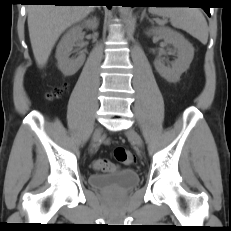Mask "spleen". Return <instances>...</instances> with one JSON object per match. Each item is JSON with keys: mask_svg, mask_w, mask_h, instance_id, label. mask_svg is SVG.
<instances>
[{"mask_svg": "<svg viewBox=\"0 0 231 231\" xmlns=\"http://www.w3.org/2000/svg\"><path fill=\"white\" fill-rule=\"evenodd\" d=\"M149 11L158 16L168 17L171 24L182 29L202 44L208 40V25L205 17L197 8L189 7H150Z\"/></svg>", "mask_w": 231, "mask_h": 231, "instance_id": "3e777b00", "label": "spleen"}]
</instances>
